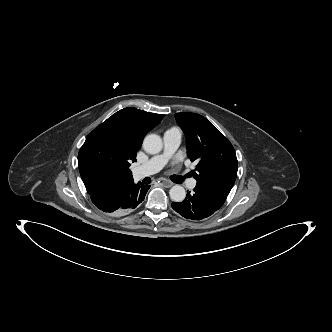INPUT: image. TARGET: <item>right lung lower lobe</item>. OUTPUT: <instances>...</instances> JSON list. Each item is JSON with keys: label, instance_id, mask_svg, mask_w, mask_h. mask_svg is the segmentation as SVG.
Wrapping results in <instances>:
<instances>
[{"label": "right lung lower lobe", "instance_id": "obj_1", "mask_svg": "<svg viewBox=\"0 0 332 332\" xmlns=\"http://www.w3.org/2000/svg\"><path fill=\"white\" fill-rule=\"evenodd\" d=\"M149 185L129 181L116 187L100 189L91 195V200L100 210L124 214L134 210L145 198Z\"/></svg>", "mask_w": 332, "mask_h": 332}]
</instances>
